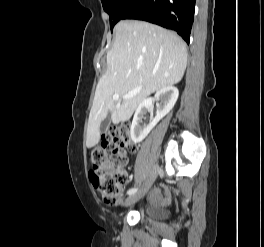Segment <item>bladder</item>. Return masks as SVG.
Wrapping results in <instances>:
<instances>
[{
  "label": "bladder",
  "mask_w": 264,
  "mask_h": 247,
  "mask_svg": "<svg viewBox=\"0 0 264 247\" xmlns=\"http://www.w3.org/2000/svg\"><path fill=\"white\" fill-rule=\"evenodd\" d=\"M145 216L155 222L165 221L168 217L167 213L163 208L152 206L146 208Z\"/></svg>",
  "instance_id": "1"
}]
</instances>
